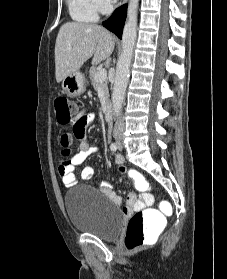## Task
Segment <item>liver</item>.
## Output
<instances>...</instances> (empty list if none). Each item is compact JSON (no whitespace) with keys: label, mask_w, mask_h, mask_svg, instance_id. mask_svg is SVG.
<instances>
[{"label":"liver","mask_w":227,"mask_h":279,"mask_svg":"<svg viewBox=\"0 0 227 279\" xmlns=\"http://www.w3.org/2000/svg\"><path fill=\"white\" fill-rule=\"evenodd\" d=\"M114 46V37L100 25L80 22L63 24L55 44L56 81L60 83L78 71L92 56L94 65L107 59Z\"/></svg>","instance_id":"obj_1"}]
</instances>
